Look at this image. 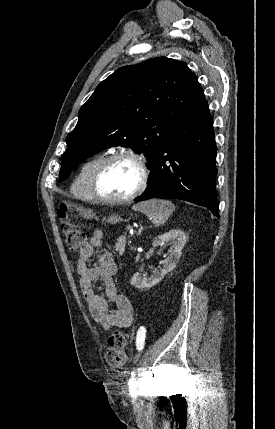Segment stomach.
<instances>
[{"mask_svg": "<svg viewBox=\"0 0 275 429\" xmlns=\"http://www.w3.org/2000/svg\"><path fill=\"white\" fill-rule=\"evenodd\" d=\"M75 209L84 218L91 219L95 217L94 212L90 209H86L82 206H79V207L75 206ZM119 220H120V217L118 215H111L107 219V221L111 224H116Z\"/></svg>", "mask_w": 275, "mask_h": 429, "instance_id": "stomach-1", "label": "stomach"}]
</instances>
